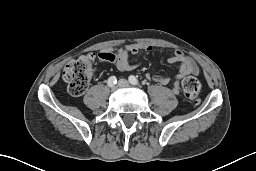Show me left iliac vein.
I'll return each instance as SVG.
<instances>
[{"mask_svg":"<svg viewBox=\"0 0 256 171\" xmlns=\"http://www.w3.org/2000/svg\"><path fill=\"white\" fill-rule=\"evenodd\" d=\"M118 85L120 87H127V86H129V82L125 79H120L119 82H118Z\"/></svg>","mask_w":256,"mask_h":171,"instance_id":"left-iliac-vein-1","label":"left iliac vein"}]
</instances>
